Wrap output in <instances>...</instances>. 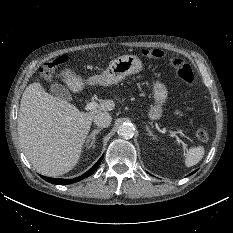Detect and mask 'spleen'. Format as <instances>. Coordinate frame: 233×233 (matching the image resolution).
I'll return each instance as SVG.
<instances>
[{"label":"spleen","mask_w":233,"mask_h":233,"mask_svg":"<svg viewBox=\"0 0 233 233\" xmlns=\"http://www.w3.org/2000/svg\"><path fill=\"white\" fill-rule=\"evenodd\" d=\"M204 156V147L190 148L185 154V165L191 167L196 165Z\"/></svg>","instance_id":"3e777b00"}]
</instances>
